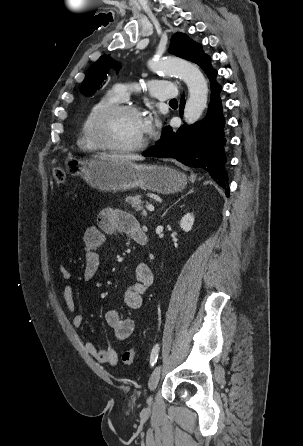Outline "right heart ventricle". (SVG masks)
<instances>
[{
	"mask_svg": "<svg viewBox=\"0 0 303 446\" xmlns=\"http://www.w3.org/2000/svg\"><path fill=\"white\" fill-rule=\"evenodd\" d=\"M121 98L117 95L115 90H111L100 96L90 107L87 112L79 131L77 144L79 148L85 151H98L102 148L95 142L92 136L91 128L94 117L104 107L119 103Z\"/></svg>",
	"mask_w": 303,
	"mask_h": 446,
	"instance_id": "obj_1",
	"label": "right heart ventricle"
}]
</instances>
